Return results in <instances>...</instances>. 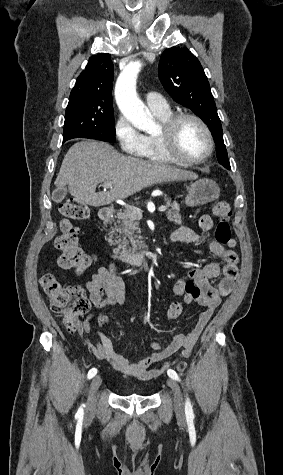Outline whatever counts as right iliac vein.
<instances>
[{
	"label": "right iliac vein",
	"mask_w": 283,
	"mask_h": 475,
	"mask_svg": "<svg viewBox=\"0 0 283 475\" xmlns=\"http://www.w3.org/2000/svg\"><path fill=\"white\" fill-rule=\"evenodd\" d=\"M102 383V379L100 376H95L93 377L91 384H90V390H89V400L87 403V413L92 414L95 403H94V396L96 395L97 390L99 389L100 385Z\"/></svg>",
	"instance_id": "1"
}]
</instances>
